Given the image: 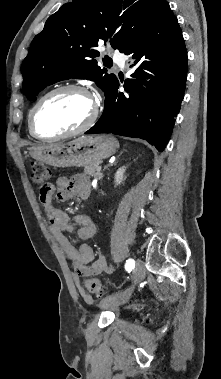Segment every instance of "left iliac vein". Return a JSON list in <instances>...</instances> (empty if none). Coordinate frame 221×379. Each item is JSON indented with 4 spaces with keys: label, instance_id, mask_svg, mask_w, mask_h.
Returning <instances> with one entry per match:
<instances>
[{
    "label": "left iliac vein",
    "instance_id": "1",
    "mask_svg": "<svg viewBox=\"0 0 221 379\" xmlns=\"http://www.w3.org/2000/svg\"><path fill=\"white\" fill-rule=\"evenodd\" d=\"M144 277H145L144 264L140 259H137L136 264H135V275L133 279V286L124 292L106 297L100 302L99 306L101 308H107V307L119 306L125 303L128 300V298L131 296L134 286L140 283L144 279Z\"/></svg>",
    "mask_w": 221,
    "mask_h": 379
}]
</instances>
